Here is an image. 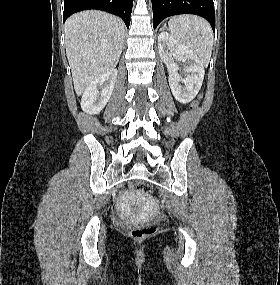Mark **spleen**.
<instances>
[{
    "mask_svg": "<svg viewBox=\"0 0 280 285\" xmlns=\"http://www.w3.org/2000/svg\"><path fill=\"white\" fill-rule=\"evenodd\" d=\"M168 27L179 43L193 51L202 64L208 66L213 48V32L206 20L193 15H180L172 17Z\"/></svg>",
    "mask_w": 280,
    "mask_h": 285,
    "instance_id": "1",
    "label": "spleen"
}]
</instances>
